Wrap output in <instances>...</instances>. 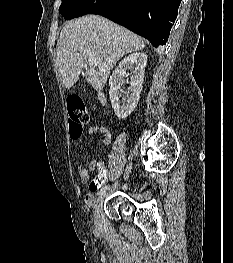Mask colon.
<instances>
[{
  "label": "colon",
  "mask_w": 233,
  "mask_h": 263,
  "mask_svg": "<svg viewBox=\"0 0 233 263\" xmlns=\"http://www.w3.org/2000/svg\"><path fill=\"white\" fill-rule=\"evenodd\" d=\"M67 110L69 115V131L72 139H78L82 136L85 127L90 122L89 111L79 97H71L67 102ZM96 178L90 184L91 189H104V184L108 183L109 175L107 171H95Z\"/></svg>",
  "instance_id": "colon-1"
}]
</instances>
